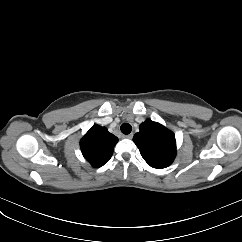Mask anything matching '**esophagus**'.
<instances>
[{
	"instance_id": "obj_1",
	"label": "esophagus",
	"mask_w": 242,
	"mask_h": 242,
	"mask_svg": "<svg viewBox=\"0 0 242 242\" xmlns=\"http://www.w3.org/2000/svg\"><path fill=\"white\" fill-rule=\"evenodd\" d=\"M125 138L132 139L133 138V133H130V134L126 135Z\"/></svg>"
}]
</instances>
